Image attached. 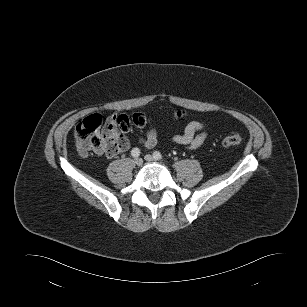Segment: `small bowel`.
<instances>
[{"mask_svg":"<svg viewBox=\"0 0 307 307\" xmlns=\"http://www.w3.org/2000/svg\"><path fill=\"white\" fill-rule=\"evenodd\" d=\"M184 116H186V113L182 111H178L174 114L175 119ZM106 136L109 150L100 153H105L108 157H114L129 148L128 139L113 125L107 128ZM206 138L207 134L204 132V124L200 121H190L181 134H176L172 137V141L193 150L199 148ZM140 142L148 148L154 147L157 143V130L155 128L148 129Z\"/></svg>","mask_w":307,"mask_h":307,"instance_id":"c3829d8e","label":"small bowel"}]
</instances>
